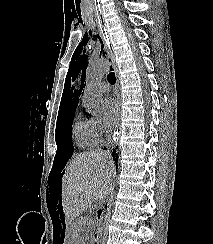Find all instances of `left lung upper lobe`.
<instances>
[{
	"label": "left lung upper lobe",
	"mask_w": 213,
	"mask_h": 244,
	"mask_svg": "<svg viewBox=\"0 0 213 244\" xmlns=\"http://www.w3.org/2000/svg\"><path fill=\"white\" fill-rule=\"evenodd\" d=\"M81 51H82V49L78 53H76V51H75V53L71 59V63H70L69 70H68L66 80H65L63 99H65V98L70 99L72 97V92L74 89V87L72 86V83H73V81L76 80L80 71H82V76H81L82 85L84 83V78H85L84 72H85V69H86L88 63H87V55H80ZM83 53H85V51H83Z\"/></svg>",
	"instance_id": "5c2ea615"
}]
</instances>
